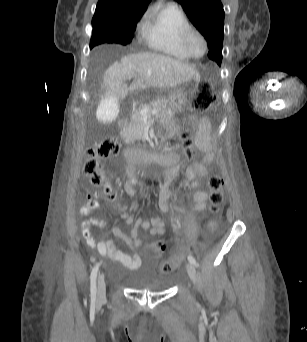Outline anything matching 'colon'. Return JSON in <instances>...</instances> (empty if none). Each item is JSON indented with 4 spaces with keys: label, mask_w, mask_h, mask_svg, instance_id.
Masks as SVG:
<instances>
[{
    "label": "colon",
    "mask_w": 307,
    "mask_h": 342,
    "mask_svg": "<svg viewBox=\"0 0 307 342\" xmlns=\"http://www.w3.org/2000/svg\"><path fill=\"white\" fill-rule=\"evenodd\" d=\"M199 94H205L199 100L191 103V109L196 112H205L213 103L211 82H198ZM181 140L186 149V154L189 159L195 154L191 145V137L187 131L181 133ZM119 145L117 137H105L95 144L90 145L86 149V154L83 163V174L90 180L93 185L103 186L111 202H117L118 196L112 191V187L107 184L102 170V162L109 159ZM208 188L210 192V211L213 214L219 213L223 204V178L218 174H212L208 178ZM210 231L217 230V223L212 221L209 224ZM152 251L157 254H163L167 249V244L164 241L152 244ZM183 258L176 256L173 260H166L160 265L162 274H170L176 266L182 264Z\"/></svg>",
    "instance_id": "1"
}]
</instances>
